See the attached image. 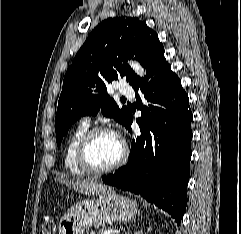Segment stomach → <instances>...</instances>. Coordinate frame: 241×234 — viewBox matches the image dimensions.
Instances as JSON below:
<instances>
[{"instance_id": "obj_1", "label": "stomach", "mask_w": 241, "mask_h": 234, "mask_svg": "<svg viewBox=\"0 0 241 234\" xmlns=\"http://www.w3.org/2000/svg\"><path fill=\"white\" fill-rule=\"evenodd\" d=\"M138 213L133 200L108 190L73 206L60 221L59 234H86L92 226L131 221Z\"/></svg>"}]
</instances>
